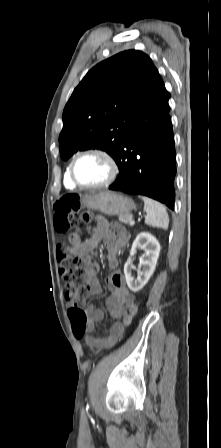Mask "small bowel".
<instances>
[{
	"label": "small bowel",
	"mask_w": 221,
	"mask_h": 448,
	"mask_svg": "<svg viewBox=\"0 0 221 448\" xmlns=\"http://www.w3.org/2000/svg\"><path fill=\"white\" fill-rule=\"evenodd\" d=\"M129 240L128 234L115 224H110L107 220L99 218L96 221L92 235L84 242H80L77 237H73L71 245L63 243L64 247L71 253L80 254L86 257L88 264L86 267L85 284L88 286L92 294L101 292V285L97 278L99 265L91 262L89 253L99 243H103L108 251V259L113 273L107 279V286L111 290L110 296L106 299V307L110 316L116 320L112 327L106 329L103 334L94 333L95 323L104 318L101 309H97L90 305L85 308L84 313L87 317V335L85 337L86 344L92 349L110 348L122 336L124 327L128 325L133 315L136 313L137 307L134 297L124 285V280L117 270L116 253ZM70 309V307H69ZM69 316V311H68ZM71 321V318L69 316ZM72 324V322H71Z\"/></svg>",
	"instance_id": "obj_1"
}]
</instances>
